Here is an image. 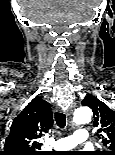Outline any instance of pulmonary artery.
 <instances>
[{
  "mask_svg": "<svg viewBox=\"0 0 115 155\" xmlns=\"http://www.w3.org/2000/svg\"><path fill=\"white\" fill-rule=\"evenodd\" d=\"M88 137V131L84 128H79L72 135L58 139L56 149L62 151L72 149L81 143L87 142Z\"/></svg>",
  "mask_w": 115,
  "mask_h": 155,
  "instance_id": "e3ab8cb5",
  "label": "pulmonary artery"
}]
</instances>
